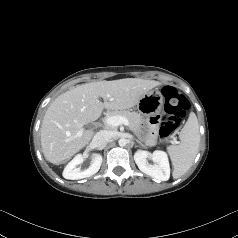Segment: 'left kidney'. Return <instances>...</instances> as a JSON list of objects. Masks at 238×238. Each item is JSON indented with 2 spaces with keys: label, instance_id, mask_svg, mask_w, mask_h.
<instances>
[{
  "label": "left kidney",
  "instance_id": "5707ae66",
  "mask_svg": "<svg viewBox=\"0 0 238 238\" xmlns=\"http://www.w3.org/2000/svg\"><path fill=\"white\" fill-rule=\"evenodd\" d=\"M150 158L154 164L148 163ZM134 160L138 168L145 174L160 181H167L170 177V166L166 152L156 150L152 154L148 151H137Z\"/></svg>",
  "mask_w": 238,
  "mask_h": 238
}]
</instances>
